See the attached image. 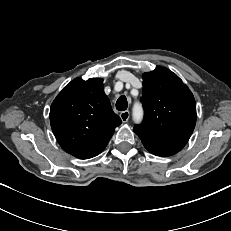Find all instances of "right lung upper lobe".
Returning a JSON list of instances; mask_svg holds the SVG:
<instances>
[{"mask_svg": "<svg viewBox=\"0 0 231 231\" xmlns=\"http://www.w3.org/2000/svg\"><path fill=\"white\" fill-rule=\"evenodd\" d=\"M50 123L64 151L89 159L104 150L122 121L111 108L101 78H76L53 101Z\"/></svg>", "mask_w": 231, "mask_h": 231, "instance_id": "right-lung-upper-lobe-1", "label": "right lung upper lobe"}]
</instances>
